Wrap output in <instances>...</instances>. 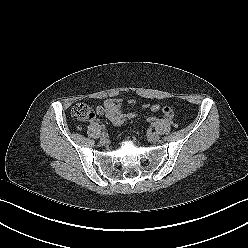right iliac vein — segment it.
I'll use <instances>...</instances> for the list:
<instances>
[{"label": "right iliac vein", "mask_w": 248, "mask_h": 248, "mask_svg": "<svg viewBox=\"0 0 248 248\" xmlns=\"http://www.w3.org/2000/svg\"><path fill=\"white\" fill-rule=\"evenodd\" d=\"M100 139H101L102 142H107V140H108L107 134L102 133Z\"/></svg>", "instance_id": "1"}]
</instances>
